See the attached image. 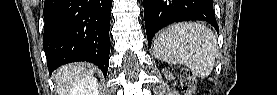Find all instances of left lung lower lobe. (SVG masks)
Segmentation results:
<instances>
[{
  "label": "left lung lower lobe",
  "instance_id": "1",
  "mask_svg": "<svg viewBox=\"0 0 277 95\" xmlns=\"http://www.w3.org/2000/svg\"><path fill=\"white\" fill-rule=\"evenodd\" d=\"M213 0H144L148 44L161 28L183 20H204L218 29Z\"/></svg>",
  "mask_w": 277,
  "mask_h": 95
}]
</instances>
